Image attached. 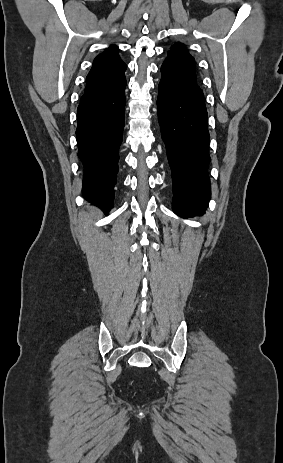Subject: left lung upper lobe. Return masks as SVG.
Here are the masks:
<instances>
[{
	"label": "left lung upper lobe",
	"instance_id": "obj_1",
	"mask_svg": "<svg viewBox=\"0 0 283 463\" xmlns=\"http://www.w3.org/2000/svg\"><path fill=\"white\" fill-rule=\"evenodd\" d=\"M166 60L196 79L194 58L188 53L184 45L180 43L173 45L168 51Z\"/></svg>",
	"mask_w": 283,
	"mask_h": 463
}]
</instances>
